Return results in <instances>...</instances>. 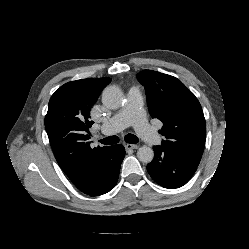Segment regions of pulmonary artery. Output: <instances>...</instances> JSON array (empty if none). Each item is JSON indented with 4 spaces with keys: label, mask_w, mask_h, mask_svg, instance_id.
I'll return each instance as SVG.
<instances>
[{
    "label": "pulmonary artery",
    "mask_w": 249,
    "mask_h": 249,
    "mask_svg": "<svg viewBox=\"0 0 249 249\" xmlns=\"http://www.w3.org/2000/svg\"><path fill=\"white\" fill-rule=\"evenodd\" d=\"M143 97L138 87H131L122 108L100 127V133L113 135L128 126H133L137 133L149 144L157 145L160 135L149 126L143 109Z\"/></svg>",
    "instance_id": "pulmonary-artery-1"
}]
</instances>
